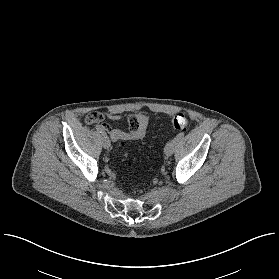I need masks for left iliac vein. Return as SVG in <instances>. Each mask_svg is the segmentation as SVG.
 Wrapping results in <instances>:
<instances>
[{
	"instance_id": "left-iliac-vein-1",
	"label": "left iliac vein",
	"mask_w": 279,
	"mask_h": 279,
	"mask_svg": "<svg viewBox=\"0 0 279 279\" xmlns=\"http://www.w3.org/2000/svg\"><path fill=\"white\" fill-rule=\"evenodd\" d=\"M174 147H175V140H172L169 143H167L164 149V154L166 156H171L174 153Z\"/></svg>"
}]
</instances>
